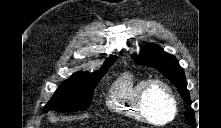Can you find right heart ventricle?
<instances>
[{"mask_svg":"<svg viewBox=\"0 0 221 128\" xmlns=\"http://www.w3.org/2000/svg\"><path fill=\"white\" fill-rule=\"evenodd\" d=\"M131 71L122 72L109 90L107 105L119 116L141 119L136 109V94L144 81Z\"/></svg>","mask_w":221,"mask_h":128,"instance_id":"right-heart-ventricle-1","label":"right heart ventricle"}]
</instances>
